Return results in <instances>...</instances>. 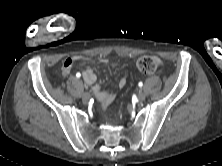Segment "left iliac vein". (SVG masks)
<instances>
[{
    "label": "left iliac vein",
    "instance_id": "left-iliac-vein-1",
    "mask_svg": "<svg viewBox=\"0 0 222 166\" xmlns=\"http://www.w3.org/2000/svg\"><path fill=\"white\" fill-rule=\"evenodd\" d=\"M145 97H146V95H145L144 92L140 91V92L138 93V100H139V101H144V100H145Z\"/></svg>",
    "mask_w": 222,
    "mask_h": 166
}]
</instances>
